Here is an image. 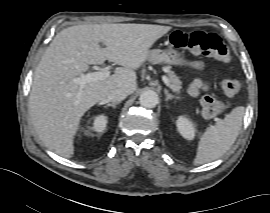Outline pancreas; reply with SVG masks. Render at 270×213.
Masks as SVG:
<instances>
[{"label":"pancreas","instance_id":"pancreas-1","mask_svg":"<svg viewBox=\"0 0 270 213\" xmlns=\"http://www.w3.org/2000/svg\"><path fill=\"white\" fill-rule=\"evenodd\" d=\"M168 79L170 83V88L173 90V92H175L176 94H179L182 89V83L179 77H177L173 71H169Z\"/></svg>","mask_w":270,"mask_h":213}]
</instances>
